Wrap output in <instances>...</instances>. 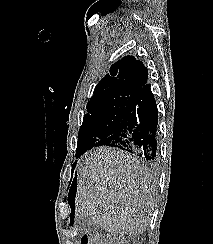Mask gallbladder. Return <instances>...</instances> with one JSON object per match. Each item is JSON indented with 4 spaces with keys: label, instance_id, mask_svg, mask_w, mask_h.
Masks as SVG:
<instances>
[{
    "label": "gallbladder",
    "instance_id": "1",
    "mask_svg": "<svg viewBox=\"0 0 213 244\" xmlns=\"http://www.w3.org/2000/svg\"><path fill=\"white\" fill-rule=\"evenodd\" d=\"M76 225L80 233H86L93 235L97 231V225H95L89 216H82L76 220Z\"/></svg>",
    "mask_w": 213,
    "mask_h": 244
}]
</instances>
